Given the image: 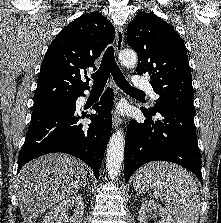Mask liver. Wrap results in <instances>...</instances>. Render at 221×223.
I'll use <instances>...</instances> for the list:
<instances>
[{"label": "liver", "instance_id": "liver-1", "mask_svg": "<svg viewBox=\"0 0 221 223\" xmlns=\"http://www.w3.org/2000/svg\"><path fill=\"white\" fill-rule=\"evenodd\" d=\"M84 164L67 154L41 156L20 170L17 199L25 223H33L54 204L76 194L84 184Z\"/></svg>", "mask_w": 221, "mask_h": 223}]
</instances>
